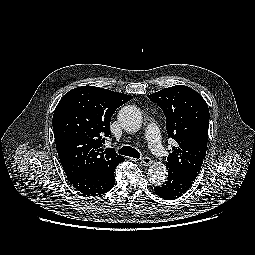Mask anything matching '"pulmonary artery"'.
Instances as JSON below:
<instances>
[{"label":"pulmonary artery","instance_id":"obj_1","mask_svg":"<svg viewBox=\"0 0 255 255\" xmlns=\"http://www.w3.org/2000/svg\"><path fill=\"white\" fill-rule=\"evenodd\" d=\"M145 138L150 149L154 153L159 154L160 151L162 150V143L159 128L155 123L150 122L149 124H147L145 128Z\"/></svg>","mask_w":255,"mask_h":255}]
</instances>
